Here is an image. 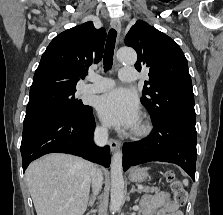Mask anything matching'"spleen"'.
<instances>
[{"mask_svg": "<svg viewBox=\"0 0 223 215\" xmlns=\"http://www.w3.org/2000/svg\"><path fill=\"white\" fill-rule=\"evenodd\" d=\"M145 169H149V167H145ZM184 185H188V179H183Z\"/></svg>", "mask_w": 223, "mask_h": 215, "instance_id": "3e777b00", "label": "spleen"}]
</instances>
